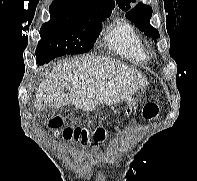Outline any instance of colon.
Instances as JSON below:
<instances>
[{
  "label": "colon",
  "mask_w": 197,
  "mask_h": 181,
  "mask_svg": "<svg viewBox=\"0 0 197 181\" xmlns=\"http://www.w3.org/2000/svg\"><path fill=\"white\" fill-rule=\"evenodd\" d=\"M159 106L155 102H148L144 105L142 115L145 120H153L159 114ZM62 125V119L56 118L49 123V128L54 130L55 136H60L66 141L74 140L82 145L88 144L90 141L99 143L106 137L107 131L105 128L98 127L93 131L84 127H65L60 129ZM115 130L118 128L115 127Z\"/></svg>",
  "instance_id": "obj_1"
}]
</instances>
